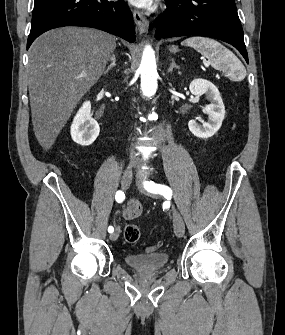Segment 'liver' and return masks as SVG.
Returning a JSON list of instances; mask_svg holds the SVG:
<instances>
[{"instance_id":"liver-1","label":"liver","mask_w":285,"mask_h":335,"mask_svg":"<svg viewBox=\"0 0 285 335\" xmlns=\"http://www.w3.org/2000/svg\"><path fill=\"white\" fill-rule=\"evenodd\" d=\"M116 48L115 36L93 28L45 32L28 52V88L35 136L52 148L82 96L102 76ZM86 78H80V76Z\"/></svg>"}]
</instances>
